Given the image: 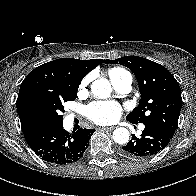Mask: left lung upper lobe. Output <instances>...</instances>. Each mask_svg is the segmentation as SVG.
Segmentation results:
<instances>
[{
    "label": "left lung upper lobe",
    "instance_id": "5c2ea615",
    "mask_svg": "<svg viewBox=\"0 0 196 196\" xmlns=\"http://www.w3.org/2000/svg\"><path fill=\"white\" fill-rule=\"evenodd\" d=\"M104 63L124 65L137 78L140 103L126 119L135 124L157 125L173 136L182 107L180 86L174 76L164 66L138 56L107 59Z\"/></svg>",
    "mask_w": 196,
    "mask_h": 196
}]
</instances>
